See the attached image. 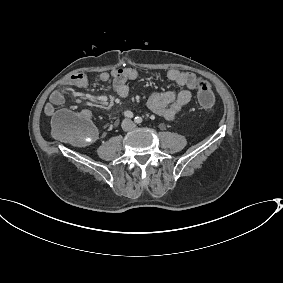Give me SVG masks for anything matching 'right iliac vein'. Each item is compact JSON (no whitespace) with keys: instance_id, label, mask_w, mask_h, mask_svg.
<instances>
[{"instance_id":"right-iliac-vein-1","label":"right iliac vein","mask_w":283,"mask_h":283,"mask_svg":"<svg viewBox=\"0 0 283 283\" xmlns=\"http://www.w3.org/2000/svg\"><path fill=\"white\" fill-rule=\"evenodd\" d=\"M127 126H128V124H127V123H125V124H124V127H125V128H127Z\"/></svg>"}]
</instances>
